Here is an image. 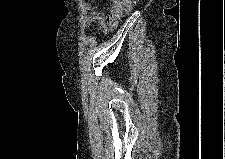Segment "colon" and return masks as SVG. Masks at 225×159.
<instances>
[{"mask_svg": "<svg viewBox=\"0 0 225 159\" xmlns=\"http://www.w3.org/2000/svg\"><path fill=\"white\" fill-rule=\"evenodd\" d=\"M133 2H134V0H113L111 21L116 22L117 17L120 14L128 11L131 8Z\"/></svg>", "mask_w": 225, "mask_h": 159, "instance_id": "1", "label": "colon"}]
</instances>
